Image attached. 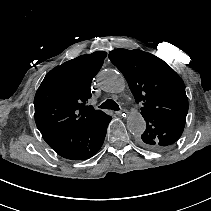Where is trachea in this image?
Returning a JSON list of instances; mask_svg holds the SVG:
<instances>
[{
	"mask_svg": "<svg viewBox=\"0 0 211 211\" xmlns=\"http://www.w3.org/2000/svg\"><path fill=\"white\" fill-rule=\"evenodd\" d=\"M99 108L102 109H111L118 111L120 110L119 105L112 99H107L104 103H102Z\"/></svg>",
	"mask_w": 211,
	"mask_h": 211,
	"instance_id": "1",
	"label": "trachea"
}]
</instances>
